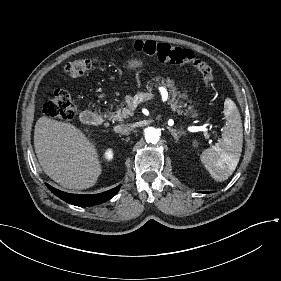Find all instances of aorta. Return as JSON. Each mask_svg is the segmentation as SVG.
<instances>
[{"instance_id": "762f6f07", "label": "aorta", "mask_w": 281, "mask_h": 281, "mask_svg": "<svg viewBox=\"0 0 281 281\" xmlns=\"http://www.w3.org/2000/svg\"><path fill=\"white\" fill-rule=\"evenodd\" d=\"M146 142L156 144L159 141L160 133L153 127H148L144 130Z\"/></svg>"}]
</instances>
